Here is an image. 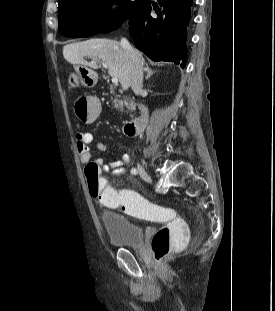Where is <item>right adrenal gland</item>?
Wrapping results in <instances>:
<instances>
[{
  "label": "right adrenal gland",
  "instance_id": "2a0ac1e0",
  "mask_svg": "<svg viewBox=\"0 0 275 311\" xmlns=\"http://www.w3.org/2000/svg\"><path fill=\"white\" fill-rule=\"evenodd\" d=\"M145 72H146V80H148L151 75L154 73V71H152V69L149 67V65L146 63V67H145Z\"/></svg>",
  "mask_w": 275,
  "mask_h": 311
}]
</instances>
